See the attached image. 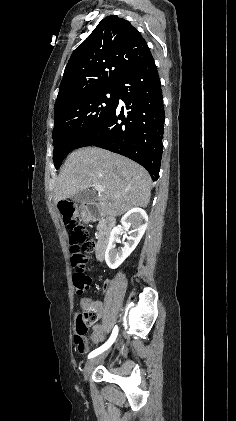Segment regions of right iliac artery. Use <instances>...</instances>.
<instances>
[{
  "label": "right iliac artery",
  "instance_id": "right-iliac-artery-1",
  "mask_svg": "<svg viewBox=\"0 0 236 421\" xmlns=\"http://www.w3.org/2000/svg\"><path fill=\"white\" fill-rule=\"evenodd\" d=\"M117 335H118V327L115 326L114 329H113V331H112V334H111L109 340L105 344H103L101 347H99V348L95 349L94 351H92L88 355V358H93V357L99 355L100 353L104 352L105 350H107L113 344V342L115 341Z\"/></svg>",
  "mask_w": 236,
  "mask_h": 421
}]
</instances>
